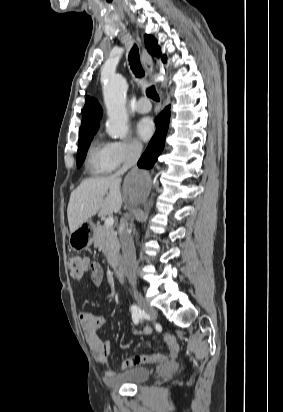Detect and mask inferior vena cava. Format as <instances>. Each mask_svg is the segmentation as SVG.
<instances>
[{
    "instance_id": "602c4592",
    "label": "inferior vena cava",
    "mask_w": 283,
    "mask_h": 412,
    "mask_svg": "<svg viewBox=\"0 0 283 412\" xmlns=\"http://www.w3.org/2000/svg\"><path fill=\"white\" fill-rule=\"evenodd\" d=\"M141 152V146H133L123 166L113 176L120 179V176L123 175L129 168L136 165L141 156ZM119 237L122 246L124 270L129 283L132 286H135L137 270L136 252L129 229V224L125 218H121L120 220Z\"/></svg>"
}]
</instances>
